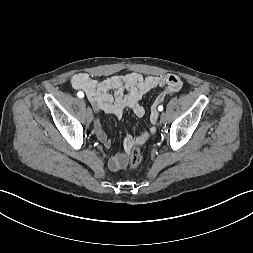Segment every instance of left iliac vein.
<instances>
[{
	"mask_svg": "<svg viewBox=\"0 0 253 253\" xmlns=\"http://www.w3.org/2000/svg\"><path fill=\"white\" fill-rule=\"evenodd\" d=\"M161 122H165L167 120V115L165 113H162L160 116Z\"/></svg>",
	"mask_w": 253,
	"mask_h": 253,
	"instance_id": "obj_1",
	"label": "left iliac vein"
}]
</instances>
